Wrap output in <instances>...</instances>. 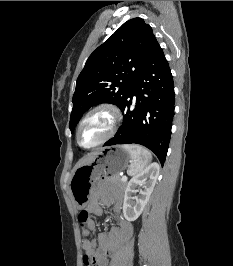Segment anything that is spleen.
I'll return each mask as SVG.
<instances>
[{
    "label": "spleen",
    "instance_id": "spleen-1",
    "mask_svg": "<svg viewBox=\"0 0 233 266\" xmlns=\"http://www.w3.org/2000/svg\"><path fill=\"white\" fill-rule=\"evenodd\" d=\"M123 148L130 154L131 162L127 170L128 175L135 176L141 173L152 160L151 153L139 145H123Z\"/></svg>",
    "mask_w": 233,
    "mask_h": 266
}]
</instances>
